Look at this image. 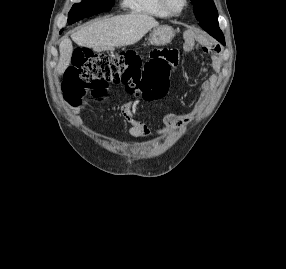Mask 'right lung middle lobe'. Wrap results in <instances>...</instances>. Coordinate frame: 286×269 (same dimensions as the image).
I'll use <instances>...</instances> for the list:
<instances>
[{"label": "right lung middle lobe", "mask_w": 286, "mask_h": 269, "mask_svg": "<svg viewBox=\"0 0 286 269\" xmlns=\"http://www.w3.org/2000/svg\"><path fill=\"white\" fill-rule=\"evenodd\" d=\"M113 2L114 0H82L81 3L73 5L68 14V23L73 24L84 17H90L100 12L108 11Z\"/></svg>", "instance_id": "right-lung-middle-lobe-1"}]
</instances>
